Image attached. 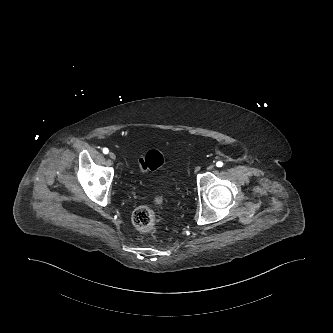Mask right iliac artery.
Listing matches in <instances>:
<instances>
[{
    "label": "right iliac artery",
    "mask_w": 333,
    "mask_h": 333,
    "mask_svg": "<svg viewBox=\"0 0 333 333\" xmlns=\"http://www.w3.org/2000/svg\"><path fill=\"white\" fill-rule=\"evenodd\" d=\"M108 152H109L108 148H103V153L104 154H108Z\"/></svg>",
    "instance_id": "1"
}]
</instances>
